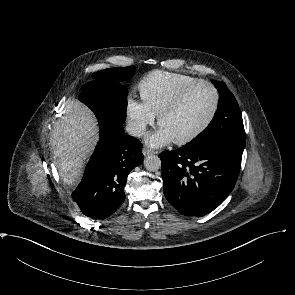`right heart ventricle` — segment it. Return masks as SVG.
<instances>
[{
  "mask_svg": "<svg viewBox=\"0 0 295 295\" xmlns=\"http://www.w3.org/2000/svg\"><path fill=\"white\" fill-rule=\"evenodd\" d=\"M198 80L195 77L166 71H153L147 74L139 83L142 99L155 115L187 85Z\"/></svg>",
  "mask_w": 295,
  "mask_h": 295,
  "instance_id": "right-heart-ventricle-1",
  "label": "right heart ventricle"
}]
</instances>
